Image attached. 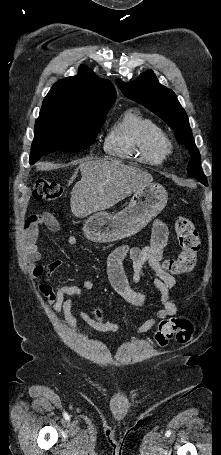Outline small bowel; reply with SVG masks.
Wrapping results in <instances>:
<instances>
[{"instance_id": "small-bowel-1", "label": "small bowel", "mask_w": 221, "mask_h": 455, "mask_svg": "<svg viewBox=\"0 0 221 455\" xmlns=\"http://www.w3.org/2000/svg\"><path fill=\"white\" fill-rule=\"evenodd\" d=\"M42 227L51 231H58L59 223L55 217L47 212L33 214L26 222L22 242L27 260L32 264L38 262L42 257L37 244L39 231ZM67 242L70 246H75L78 244L79 239L77 236L71 235L68 237ZM167 242V226L161 221H155L151 230L149 245L144 247L122 245L113 250L107 258V274L113 289L122 299L133 306L145 304L149 295L132 287L124 271L125 259L129 258L132 262V279L135 283L144 280L145 267L147 265L156 275L153 285L160 296L162 307L157 310L154 316L139 325L136 330L137 335L148 332L158 322L178 313V307L172 294L176 286V279L164 269L163 252ZM61 266V261H53L47 265H36L34 269L35 275H45L46 278V282L39 286V290L46 297V302L52 307L53 312L61 313L72 329L91 335L90 330H80L78 328L77 319L72 310L73 299L82 293L91 291L93 283L87 280L79 286H54L51 282V276ZM79 316L94 331L102 333L117 332L122 327L120 322L106 321L103 311L99 307L94 308L92 315L79 310Z\"/></svg>"}]
</instances>
